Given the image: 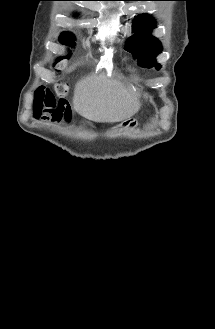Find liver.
<instances>
[{
	"label": "liver",
	"instance_id": "obj_1",
	"mask_svg": "<svg viewBox=\"0 0 215 329\" xmlns=\"http://www.w3.org/2000/svg\"><path fill=\"white\" fill-rule=\"evenodd\" d=\"M141 107L140 101L120 81L105 74H91L77 82L73 108L94 122H120L130 119Z\"/></svg>",
	"mask_w": 215,
	"mask_h": 329
}]
</instances>
